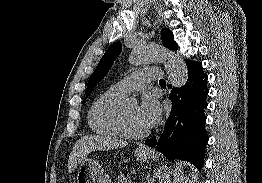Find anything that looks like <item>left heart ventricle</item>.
<instances>
[{"label": "left heart ventricle", "mask_w": 262, "mask_h": 183, "mask_svg": "<svg viewBox=\"0 0 262 183\" xmlns=\"http://www.w3.org/2000/svg\"><path fill=\"white\" fill-rule=\"evenodd\" d=\"M124 110H125V113H126L128 123L133 130H135V131L147 130L139 120L138 106L137 105L128 106V107L124 108Z\"/></svg>", "instance_id": "b2bd125f"}]
</instances>
